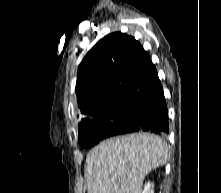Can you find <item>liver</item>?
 <instances>
[{
  "label": "liver",
  "instance_id": "liver-1",
  "mask_svg": "<svg viewBox=\"0 0 221 193\" xmlns=\"http://www.w3.org/2000/svg\"><path fill=\"white\" fill-rule=\"evenodd\" d=\"M167 159V143L154 134L109 138L87 156L88 193H141L145 176Z\"/></svg>",
  "mask_w": 221,
  "mask_h": 193
}]
</instances>
